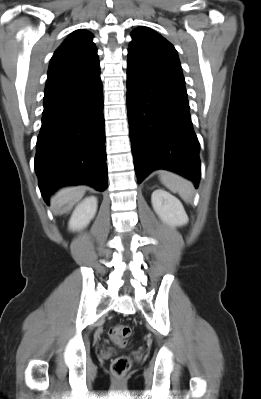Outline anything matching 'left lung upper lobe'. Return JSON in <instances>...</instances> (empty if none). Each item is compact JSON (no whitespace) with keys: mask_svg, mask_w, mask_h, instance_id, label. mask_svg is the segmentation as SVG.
<instances>
[{"mask_svg":"<svg viewBox=\"0 0 261 399\" xmlns=\"http://www.w3.org/2000/svg\"><path fill=\"white\" fill-rule=\"evenodd\" d=\"M131 36L128 68L140 74L185 83L177 51L170 42L147 27L135 29Z\"/></svg>","mask_w":261,"mask_h":399,"instance_id":"left-lung-upper-lobe-1","label":"left lung upper lobe"}]
</instances>
